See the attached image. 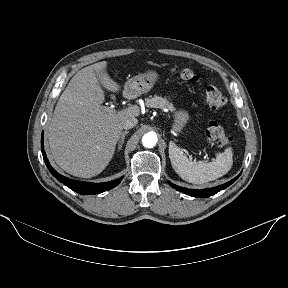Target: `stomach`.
Here are the masks:
<instances>
[{"instance_id": "obj_1", "label": "stomach", "mask_w": 288, "mask_h": 288, "mask_svg": "<svg viewBox=\"0 0 288 288\" xmlns=\"http://www.w3.org/2000/svg\"><path fill=\"white\" fill-rule=\"evenodd\" d=\"M157 80L158 73L154 70H149L129 79L124 86V90L128 96L137 97L150 91ZM173 117L174 123L172 124V128L175 132H181L190 118L188 112L183 109L176 111Z\"/></svg>"}]
</instances>
